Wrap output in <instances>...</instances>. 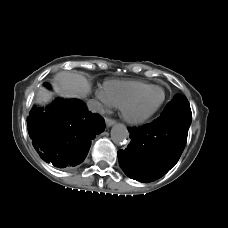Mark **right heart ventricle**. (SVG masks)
<instances>
[{
    "label": "right heart ventricle",
    "mask_w": 228,
    "mask_h": 228,
    "mask_svg": "<svg viewBox=\"0 0 228 228\" xmlns=\"http://www.w3.org/2000/svg\"><path fill=\"white\" fill-rule=\"evenodd\" d=\"M149 86L137 80H109L103 84V95L110 105L120 107L129 97Z\"/></svg>",
    "instance_id": "e07e8e85"
}]
</instances>
